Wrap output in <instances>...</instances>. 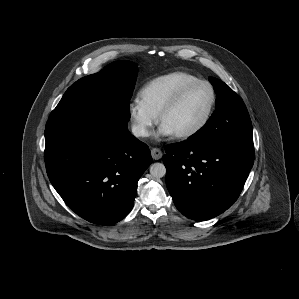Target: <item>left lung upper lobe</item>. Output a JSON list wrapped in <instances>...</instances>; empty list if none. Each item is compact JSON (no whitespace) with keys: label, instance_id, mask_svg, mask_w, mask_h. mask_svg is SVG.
<instances>
[{"label":"left lung upper lobe","instance_id":"5c2ea615","mask_svg":"<svg viewBox=\"0 0 299 299\" xmlns=\"http://www.w3.org/2000/svg\"><path fill=\"white\" fill-rule=\"evenodd\" d=\"M214 87L216 108L197 133L189 137L196 142H253L252 123L243 100L228 85L209 77Z\"/></svg>","mask_w":299,"mask_h":299}]
</instances>
